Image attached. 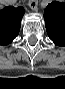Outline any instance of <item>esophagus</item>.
Segmentation results:
<instances>
[{
  "instance_id": "34e87169",
  "label": "esophagus",
  "mask_w": 65,
  "mask_h": 89,
  "mask_svg": "<svg viewBox=\"0 0 65 89\" xmlns=\"http://www.w3.org/2000/svg\"><path fill=\"white\" fill-rule=\"evenodd\" d=\"M38 6V1L37 0H30L29 1V7L33 10L36 11Z\"/></svg>"
}]
</instances>
